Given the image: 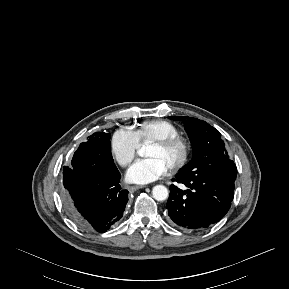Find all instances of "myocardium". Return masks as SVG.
<instances>
[{
  "label": "myocardium",
  "instance_id": "1",
  "mask_svg": "<svg viewBox=\"0 0 289 289\" xmlns=\"http://www.w3.org/2000/svg\"><path fill=\"white\" fill-rule=\"evenodd\" d=\"M160 149L178 148L179 157L167 170L169 173H176L181 170L188 162L190 156V145L186 139L181 136L168 137L150 143Z\"/></svg>",
  "mask_w": 289,
  "mask_h": 289
}]
</instances>
